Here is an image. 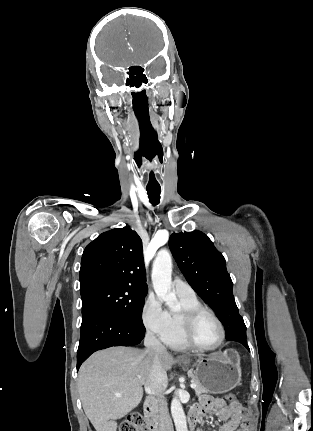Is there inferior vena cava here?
Wrapping results in <instances>:
<instances>
[{"label": "inferior vena cava", "instance_id": "obj_1", "mask_svg": "<svg viewBox=\"0 0 313 431\" xmlns=\"http://www.w3.org/2000/svg\"><path fill=\"white\" fill-rule=\"evenodd\" d=\"M144 345L152 359L151 370L145 382V390L149 394L147 402L158 417L159 431H173L167 405L162 396L167 384V374L161 364V356L167 354L166 348L150 331L145 335Z\"/></svg>", "mask_w": 313, "mask_h": 431}]
</instances>
